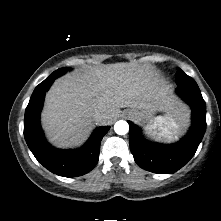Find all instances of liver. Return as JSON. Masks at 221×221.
<instances>
[{
	"label": "liver",
	"instance_id": "1",
	"mask_svg": "<svg viewBox=\"0 0 221 221\" xmlns=\"http://www.w3.org/2000/svg\"><path fill=\"white\" fill-rule=\"evenodd\" d=\"M124 107L163 111L175 117L187 111L148 68L115 63L76 70L57 79L45 98L42 127L55 146L73 148L85 142L95 125L110 124ZM96 112L106 118L96 122Z\"/></svg>",
	"mask_w": 221,
	"mask_h": 221
}]
</instances>
